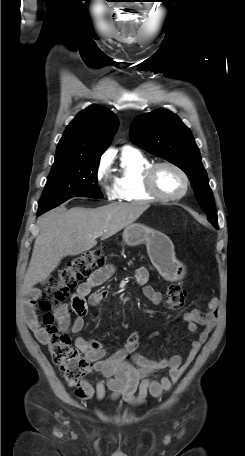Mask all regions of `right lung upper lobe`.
I'll return each mask as SVG.
<instances>
[{"label": "right lung upper lobe", "mask_w": 245, "mask_h": 456, "mask_svg": "<svg viewBox=\"0 0 245 456\" xmlns=\"http://www.w3.org/2000/svg\"><path fill=\"white\" fill-rule=\"evenodd\" d=\"M118 127L117 116L108 109L92 105L67 126L57 149L55 162L71 159H100Z\"/></svg>", "instance_id": "1"}]
</instances>
